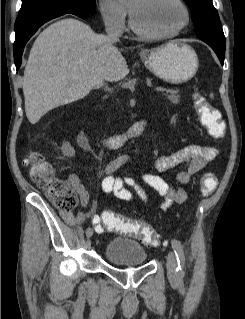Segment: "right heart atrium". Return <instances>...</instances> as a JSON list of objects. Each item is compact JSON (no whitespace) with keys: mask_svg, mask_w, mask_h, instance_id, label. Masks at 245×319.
Segmentation results:
<instances>
[{"mask_svg":"<svg viewBox=\"0 0 245 319\" xmlns=\"http://www.w3.org/2000/svg\"><path fill=\"white\" fill-rule=\"evenodd\" d=\"M99 10L105 26L115 32L122 33L126 28L127 11L116 0H99Z\"/></svg>","mask_w":245,"mask_h":319,"instance_id":"1","label":"right heart atrium"}]
</instances>
